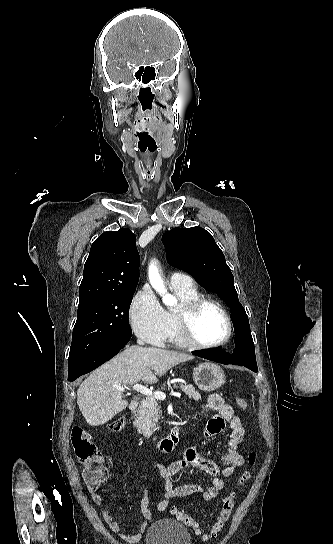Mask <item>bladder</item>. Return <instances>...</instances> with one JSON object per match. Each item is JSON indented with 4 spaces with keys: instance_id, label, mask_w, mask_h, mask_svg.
I'll return each instance as SVG.
<instances>
[{
    "instance_id": "obj_1",
    "label": "bladder",
    "mask_w": 333,
    "mask_h": 544,
    "mask_svg": "<svg viewBox=\"0 0 333 544\" xmlns=\"http://www.w3.org/2000/svg\"><path fill=\"white\" fill-rule=\"evenodd\" d=\"M145 544H192L187 528L171 519H159L147 530Z\"/></svg>"
}]
</instances>
